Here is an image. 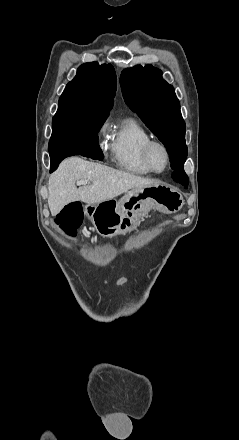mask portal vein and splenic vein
<instances>
[{
    "label": "portal vein and splenic vein",
    "mask_w": 239,
    "mask_h": 440,
    "mask_svg": "<svg viewBox=\"0 0 239 440\" xmlns=\"http://www.w3.org/2000/svg\"><path fill=\"white\" fill-rule=\"evenodd\" d=\"M88 180H79V182H77V186H86Z\"/></svg>",
    "instance_id": "obj_1"
}]
</instances>
